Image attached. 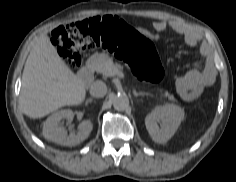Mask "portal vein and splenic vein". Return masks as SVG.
<instances>
[{
  "label": "portal vein and splenic vein",
  "mask_w": 236,
  "mask_h": 182,
  "mask_svg": "<svg viewBox=\"0 0 236 182\" xmlns=\"http://www.w3.org/2000/svg\"><path fill=\"white\" fill-rule=\"evenodd\" d=\"M114 74L119 76V77H123V75L120 72H118V71H115Z\"/></svg>",
  "instance_id": "portal-vein-and-splenic-vein-1"
}]
</instances>
